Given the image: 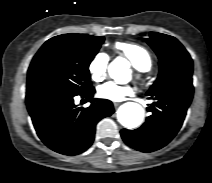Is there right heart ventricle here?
Segmentation results:
<instances>
[{"instance_id":"1","label":"right heart ventricle","mask_w":212,"mask_h":183,"mask_svg":"<svg viewBox=\"0 0 212 183\" xmlns=\"http://www.w3.org/2000/svg\"><path fill=\"white\" fill-rule=\"evenodd\" d=\"M113 50L128 59L140 71H148L153 64L149 51L140 44L132 42H117Z\"/></svg>"}]
</instances>
